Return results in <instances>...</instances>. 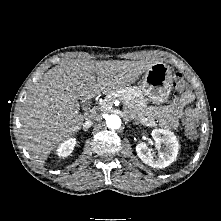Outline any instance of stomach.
Returning a JSON list of instances; mask_svg holds the SVG:
<instances>
[{"label": "stomach", "instance_id": "0dacf381", "mask_svg": "<svg viewBox=\"0 0 221 221\" xmlns=\"http://www.w3.org/2000/svg\"><path fill=\"white\" fill-rule=\"evenodd\" d=\"M172 86L173 75L170 67L165 63L156 62L142 77L138 87L140 99L142 97L144 101L151 102L155 106H161L168 101ZM143 104L145 105L144 102Z\"/></svg>", "mask_w": 221, "mask_h": 221}]
</instances>
